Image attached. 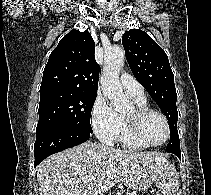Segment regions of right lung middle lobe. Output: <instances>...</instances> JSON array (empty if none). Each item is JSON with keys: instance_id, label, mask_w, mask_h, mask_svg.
<instances>
[{"instance_id": "dd1d6c3e", "label": "right lung middle lobe", "mask_w": 211, "mask_h": 195, "mask_svg": "<svg viewBox=\"0 0 211 195\" xmlns=\"http://www.w3.org/2000/svg\"><path fill=\"white\" fill-rule=\"evenodd\" d=\"M95 100L94 93L72 90L41 92L36 133L57 127L78 128L92 133L90 116Z\"/></svg>"}]
</instances>
